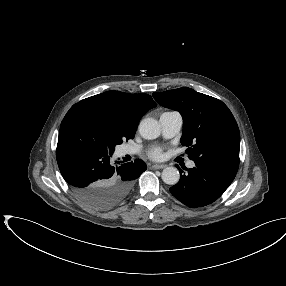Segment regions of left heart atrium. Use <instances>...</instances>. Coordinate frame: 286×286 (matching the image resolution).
<instances>
[{"mask_svg": "<svg viewBox=\"0 0 286 286\" xmlns=\"http://www.w3.org/2000/svg\"><path fill=\"white\" fill-rule=\"evenodd\" d=\"M148 156L153 160H159L163 157L162 149L159 147L152 148L149 151Z\"/></svg>", "mask_w": 286, "mask_h": 286, "instance_id": "1", "label": "left heart atrium"}]
</instances>
